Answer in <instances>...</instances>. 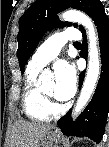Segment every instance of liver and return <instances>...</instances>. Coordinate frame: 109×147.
<instances>
[{
	"label": "liver",
	"mask_w": 109,
	"mask_h": 147,
	"mask_svg": "<svg viewBox=\"0 0 109 147\" xmlns=\"http://www.w3.org/2000/svg\"><path fill=\"white\" fill-rule=\"evenodd\" d=\"M52 128L51 124L17 120L12 128L9 147H40L41 140Z\"/></svg>",
	"instance_id": "liver-1"
}]
</instances>
